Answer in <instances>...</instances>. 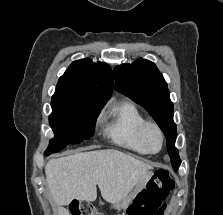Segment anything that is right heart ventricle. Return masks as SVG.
<instances>
[{
    "mask_svg": "<svg viewBox=\"0 0 223 215\" xmlns=\"http://www.w3.org/2000/svg\"><path fill=\"white\" fill-rule=\"evenodd\" d=\"M105 119V133L116 145L138 154L144 153L139 130L145 119L132 102L124 101L111 108Z\"/></svg>",
    "mask_w": 223,
    "mask_h": 215,
    "instance_id": "1",
    "label": "right heart ventricle"
}]
</instances>
